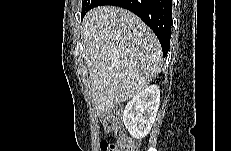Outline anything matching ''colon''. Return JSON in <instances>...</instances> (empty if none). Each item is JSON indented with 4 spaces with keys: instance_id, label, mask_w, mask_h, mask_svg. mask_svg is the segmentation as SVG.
<instances>
[{
    "instance_id": "5ec220e1",
    "label": "colon",
    "mask_w": 231,
    "mask_h": 151,
    "mask_svg": "<svg viewBox=\"0 0 231 151\" xmlns=\"http://www.w3.org/2000/svg\"><path fill=\"white\" fill-rule=\"evenodd\" d=\"M100 122L106 132L113 131L117 134L114 142H102L101 151H136L137 143L124 133L120 132V112L112 109L100 116Z\"/></svg>"
}]
</instances>
